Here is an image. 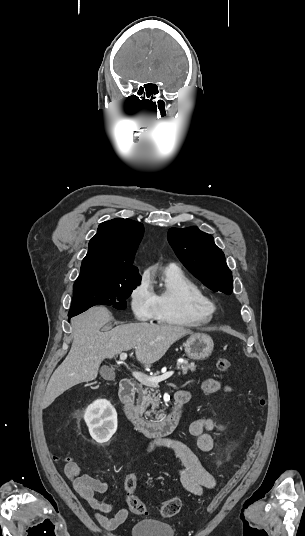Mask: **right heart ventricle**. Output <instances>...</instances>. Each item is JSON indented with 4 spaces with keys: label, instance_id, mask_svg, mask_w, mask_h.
<instances>
[{
    "label": "right heart ventricle",
    "instance_id": "1",
    "mask_svg": "<svg viewBox=\"0 0 305 536\" xmlns=\"http://www.w3.org/2000/svg\"><path fill=\"white\" fill-rule=\"evenodd\" d=\"M152 291L156 305L155 319L159 323L198 327L211 322L201 306L206 294L178 267L164 268Z\"/></svg>",
    "mask_w": 305,
    "mask_h": 536
}]
</instances>
